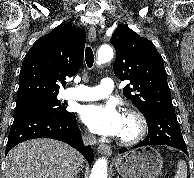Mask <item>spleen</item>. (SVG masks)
Segmentation results:
<instances>
[{
	"mask_svg": "<svg viewBox=\"0 0 194 178\" xmlns=\"http://www.w3.org/2000/svg\"><path fill=\"white\" fill-rule=\"evenodd\" d=\"M177 174L175 178H187V165L184 160H179L177 163Z\"/></svg>",
	"mask_w": 194,
	"mask_h": 178,
	"instance_id": "3e777b00",
	"label": "spleen"
}]
</instances>
